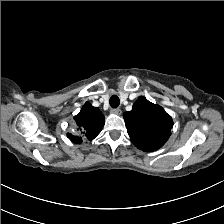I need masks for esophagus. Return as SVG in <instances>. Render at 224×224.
Listing matches in <instances>:
<instances>
[{
	"label": "esophagus",
	"instance_id": "34e87169",
	"mask_svg": "<svg viewBox=\"0 0 224 224\" xmlns=\"http://www.w3.org/2000/svg\"><path fill=\"white\" fill-rule=\"evenodd\" d=\"M111 113L114 115H120L121 114V109L115 108L111 110Z\"/></svg>",
	"mask_w": 224,
	"mask_h": 224
}]
</instances>
